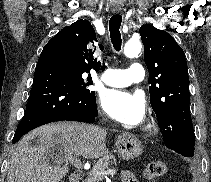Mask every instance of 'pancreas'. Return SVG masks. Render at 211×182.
Segmentation results:
<instances>
[{
    "label": "pancreas",
    "instance_id": "pancreas-1",
    "mask_svg": "<svg viewBox=\"0 0 211 182\" xmlns=\"http://www.w3.org/2000/svg\"><path fill=\"white\" fill-rule=\"evenodd\" d=\"M115 163L116 158L114 155H104L102 158L99 159L93 169L88 173L83 182H101L105 177V174L103 173L107 172L109 167Z\"/></svg>",
    "mask_w": 211,
    "mask_h": 182
}]
</instances>
